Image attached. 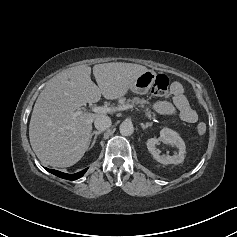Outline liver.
I'll list each match as a JSON object with an SVG mask.
<instances>
[{
    "mask_svg": "<svg viewBox=\"0 0 237 237\" xmlns=\"http://www.w3.org/2000/svg\"><path fill=\"white\" fill-rule=\"evenodd\" d=\"M145 66L111 62L93 67L98 86L91 80V67L66 69L48 81L38 96L29 124L30 144L45 165L69 167L88 149L93 121L103 113L83 112L72 117L81 106L96 103L101 95L118 99L127 94Z\"/></svg>",
    "mask_w": 237,
    "mask_h": 237,
    "instance_id": "1",
    "label": "liver"
}]
</instances>
